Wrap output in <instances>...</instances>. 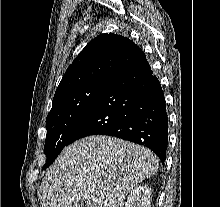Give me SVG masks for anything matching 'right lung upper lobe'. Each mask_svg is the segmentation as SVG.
Wrapping results in <instances>:
<instances>
[{"instance_id":"obj_1","label":"right lung upper lobe","mask_w":220,"mask_h":207,"mask_svg":"<svg viewBox=\"0 0 220 207\" xmlns=\"http://www.w3.org/2000/svg\"><path fill=\"white\" fill-rule=\"evenodd\" d=\"M145 57V53L130 39L113 33L101 34L73 60L54 97L97 80L109 79Z\"/></svg>"}]
</instances>
